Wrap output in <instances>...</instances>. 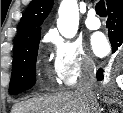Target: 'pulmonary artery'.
Listing matches in <instances>:
<instances>
[{
    "label": "pulmonary artery",
    "mask_w": 123,
    "mask_h": 113,
    "mask_svg": "<svg viewBox=\"0 0 123 113\" xmlns=\"http://www.w3.org/2000/svg\"><path fill=\"white\" fill-rule=\"evenodd\" d=\"M85 24H86L87 28H89L90 30H97L101 27V21L97 17L94 9L89 10L88 16L85 20Z\"/></svg>",
    "instance_id": "obj_1"
}]
</instances>
